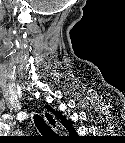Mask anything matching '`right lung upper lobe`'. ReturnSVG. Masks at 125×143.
I'll list each match as a JSON object with an SVG mask.
<instances>
[{
  "instance_id": "right-lung-upper-lobe-1",
  "label": "right lung upper lobe",
  "mask_w": 125,
  "mask_h": 143,
  "mask_svg": "<svg viewBox=\"0 0 125 143\" xmlns=\"http://www.w3.org/2000/svg\"><path fill=\"white\" fill-rule=\"evenodd\" d=\"M48 110H51L48 106H45ZM57 118H59L63 124V126L69 131V133L71 135L75 134V130L72 127V122L68 121L67 119H65L61 112L58 111H51Z\"/></svg>"
}]
</instances>
